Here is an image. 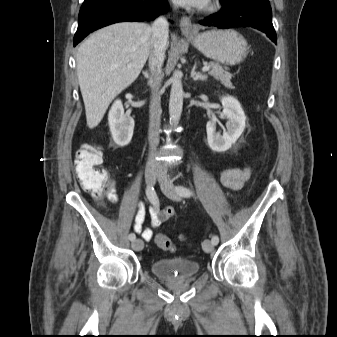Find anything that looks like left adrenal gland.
<instances>
[{"label": "left adrenal gland", "instance_id": "a2214340", "mask_svg": "<svg viewBox=\"0 0 337 337\" xmlns=\"http://www.w3.org/2000/svg\"><path fill=\"white\" fill-rule=\"evenodd\" d=\"M196 69V65L193 67L192 71H191V77L194 81L200 80V81H206L207 80V75L205 74H201V73H197L195 71Z\"/></svg>", "mask_w": 337, "mask_h": 337}]
</instances>
